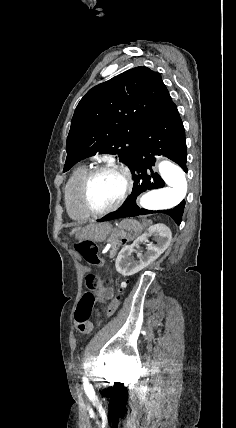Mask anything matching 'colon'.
<instances>
[{
    "instance_id": "obj_1",
    "label": "colon",
    "mask_w": 236,
    "mask_h": 428,
    "mask_svg": "<svg viewBox=\"0 0 236 428\" xmlns=\"http://www.w3.org/2000/svg\"><path fill=\"white\" fill-rule=\"evenodd\" d=\"M125 239L123 243H125ZM75 249L83 257V259L90 265L103 266L104 260L98 254V246L95 242L90 240H81L75 244ZM85 287L87 292L81 298L75 312V324L77 328L84 331L88 325L89 319L94 310L96 301L95 292L102 287V280L95 275H87L85 277ZM126 286V282H122L120 290ZM120 303V296H116L106 310V316L112 315L118 308Z\"/></svg>"
}]
</instances>
